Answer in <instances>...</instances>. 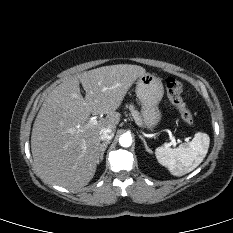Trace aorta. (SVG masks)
Listing matches in <instances>:
<instances>
[{
	"instance_id": "obj_1",
	"label": "aorta",
	"mask_w": 233,
	"mask_h": 233,
	"mask_svg": "<svg viewBox=\"0 0 233 233\" xmlns=\"http://www.w3.org/2000/svg\"><path fill=\"white\" fill-rule=\"evenodd\" d=\"M119 144L122 146V147H130L131 144H132V137L131 135L129 134H122L119 138Z\"/></svg>"
}]
</instances>
